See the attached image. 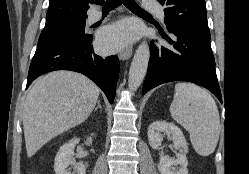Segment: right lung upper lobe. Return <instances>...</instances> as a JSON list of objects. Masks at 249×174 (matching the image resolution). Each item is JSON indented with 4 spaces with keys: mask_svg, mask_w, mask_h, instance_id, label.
Instances as JSON below:
<instances>
[{
    "mask_svg": "<svg viewBox=\"0 0 249 174\" xmlns=\"http://www.w3.org/2000/svg\"><path fill=\"white\" fill-rule=\"evenodd\" d=\"M92 2L93 0H50L45 27L87 18L86 12Z\"/></svg>",
    "mask_w": 249,
    "mask_h": 174,
    "instance_id": "right-lung-upper-lobe-1",
    "label": "right lung upper lobe"
}]
</instances>
